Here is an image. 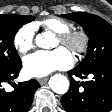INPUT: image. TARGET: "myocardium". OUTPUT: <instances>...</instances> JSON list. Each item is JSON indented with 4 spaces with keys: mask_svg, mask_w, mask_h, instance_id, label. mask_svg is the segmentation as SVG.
<instances>
[{
    "mask_svg": "<svg viewBox=\"0 0 112 112\" xmlns=\"http://www.w3.org/2000/svg\"><path fill=\"white\" fill-rule=\"evenodd\" d=\"M60 43L74 55H82L89 46V36L84 30H70L58 37Z\"/></svg>",
    "mask_w": 112,
    "mask_h": 112,
    "instance_id": "obj_1",
    "label": "myocardium"
}]
</instances>
